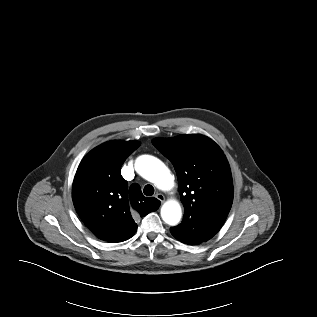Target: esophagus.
Here are the masks:
<instances>
[{"instance_id": "34e87169", "label": "esophagus", "mask_w": 317, "mask_h": 317, "mask_svg": "<svg viewBox=\"0 0 317 317\" xmlns=\"http://www.w3.org/2000/svg\"><path fill=\"white\" fill-rule=\"evenodd\" d=\"M155 197L160 201V202H164L165 201V196L161 193H157L155 195Z\"/></svg>"}]
</instances>
